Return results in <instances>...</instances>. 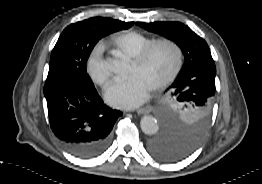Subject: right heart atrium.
Listing matches in <instances>:
<instances>
[{"instance_id":"d8ad5b80","label":"right heart atrium","mask_w":262,"mask_h":184,"mask_svg":"<svg viewBox=\"0 0 262 184\" xmlns=\"http://www.w3.org/2000/svg\"><path fill=\"white\" fill-rule=\"evenodd\" d=\"M87 74L94 84L103 89H106L113 80V72L108 59L103 56L101 45L95 46L88 57Z\"/></svg>"}]
</instances>
